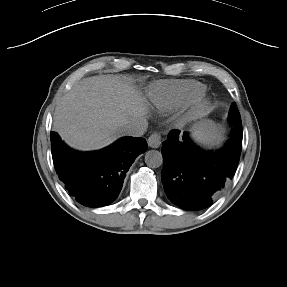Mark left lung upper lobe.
<instances>
[{
    "label": "left lung upper lobe",
    "mask_w": 287,
    "mask_h": 287,
    "mask_svg": "<svg viewBox=\"0 0 287 287\" xmlns=\"http://www.w3.org/2000/svg\"><path fill=\"white\" fill-rule=\"evenodd\" d=\"M229 120L231 122L241 121L240 114L235 103L231 105Z\"/></svg>",
    "instance_id": "5c2ea615"
}]
</instances>
